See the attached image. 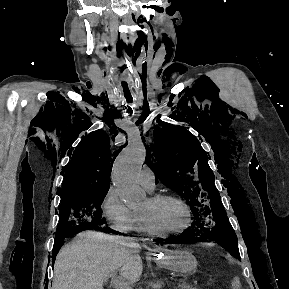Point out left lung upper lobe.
<instances>
[{
  "label": "left lung upper lobe",
  "mask_w": 289,
  "mask_h": 289,
  "mask_svg": "<svg viewBox=\"0 0 289 289\" xmlns=\"http://www.w3.org/2000/svg\"><path fill=\"white\" fill-rule=\"evenodd\" d=\"M146 147V163L166 186L191 206L195 221L191 228L212 231L216 242L240 258L236 234L228 222L214 174L199 141L181 126L160 124Z\"/></svg>",
  "instance_id": "1"
}]
</instances>
